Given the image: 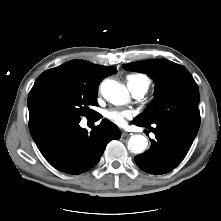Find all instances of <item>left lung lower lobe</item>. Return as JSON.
<instances>
[{
	"mask_svg": "<svg viewBox=\"0 0 221 221\" xmlns=\"http://www.w3.org/2000/svg\"><path fill=\"white\" fill-rule=\"evenodd\" d=\"M134 124L147 127L156 136V141L150 140V149L135 157L138 167L150 174H164L177 167L186 156L199 130L200 119H164L152 123L155 127L134 119Z\"/></svg>",
	"mask_w": 221,
	"mask_h": 221,
	"instance_id": "obj_1",
	"label": "left lung lower lobe"
}]
</instances>
